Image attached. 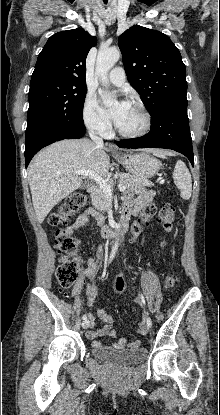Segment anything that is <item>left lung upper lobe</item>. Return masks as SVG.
<instances>
[{
    "label": "left lung upper lobe",
    "mask_w": 220,
    "mask_h": 415,
    "mask_svg": "<svg viewBox=\"0 0 220 415\" xmlns=\"http://www.w3.org/2000/svg\"><path fill=\"white\" fill-rule=\"evenodd\" d=\"M118 45L130 85L150 114L165 102L186 98V67L167 35L134 25L119 36Z\"/></svg>",
    "instance_id": "5c2ea615"
}]
</instances>
